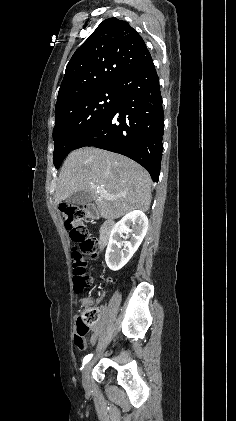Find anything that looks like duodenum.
I'll return each instance as SVG.
<instances>
[{"label":"duodenum","instance_id":"1","mask_svg":"<svg viewBox=\"0 0 236 421\" xmlns=\"http://www.w3.org/2000/svg\"><path fill=\"white\" fill-rule=\"evenodd\" d=\"M87 212V216L89 218H97L98 214L96 209L93 206H88L86 209ZM113 229H114V221L112 219H105L101 226H100V232H99V246L101 248L105 247L113 233ZM102 331V327L101 329L96 333V335L93 337V342H95L97 340V337L99 335V333Z\"/></svg>","mask_w":236,"mask_h":421}]
</instances>
